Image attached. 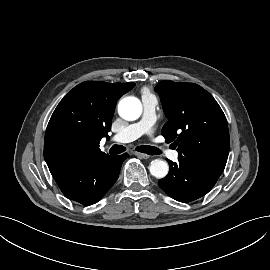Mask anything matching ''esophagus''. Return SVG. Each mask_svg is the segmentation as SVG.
I'll return each instance as SVG.
<instances>
[{"mask_svg":"<svg viewBox=\"0 0 270 270\" xmlns=\"http://www.w3.org/2000/svg\"><path fill=\"white\" fill-rule=\"evenodd\" d=\"M137 157L142 158V159H149L150 155L144 154V153H140V152H135L134 153Z\"/></svg>","mask_w":270,"mask_h":270,"instance_id":"34e87169","label":"esophagus"}]
</instances>
